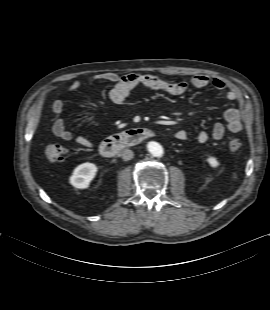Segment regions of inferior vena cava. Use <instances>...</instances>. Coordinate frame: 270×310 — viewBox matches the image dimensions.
I'll return each instance as SVG.
<instances>
[{
    "mask_svg": "<svg viewBox=\"0 0 270 310\" xmlns=\"http://www.w3.org/2000/svg\"><path fill=\"white\" fill-rule=\"evenodd\" d=\"M121 156H122V159L124 161H128V160H131L133 158L134 153L130 149H125V150L122 151Z\"/></svg>",
    "mask_w": 270,
    "mask_h": 310,
    "instance_id": "inferior-vena-cava-1",
    "label": "inferior vena cava"
}]
</instances>
